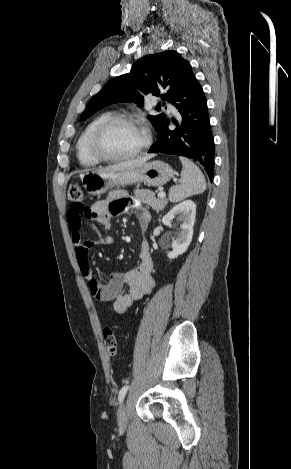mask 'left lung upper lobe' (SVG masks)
I'll list each match as a JSON object with an SVG mask.
<instances>
[{"label": "left lung upper lobe", "instance_id": "obj_1", "mask_svg": "<svg viewBox=\"0 0 291 469\" xmlns=\"http://www.w3.org/2000/svg\"><path fill=\"white\" fill-rule=\"evenodd\" d=\"M190 68V63L174 50L146 55L132 66L129 73L110 80L90 100L80 120L87 119L113 103L131 101L142 104L148 94L169 101L182 85ZM148 118L156 130L166 120L163 113L149 115Z\"/></svg>", "mask_w": 291, "mask_h": 469}]
</instances>
